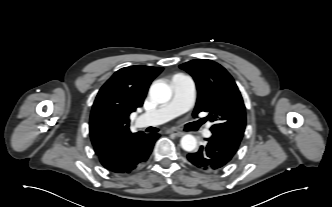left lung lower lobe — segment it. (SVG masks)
<instances>
[{
  "label": "left lung lower lobe",
  "mask_w": 332,
  "mask_h": 207,
  "mask_svg": "<svg viewBox=\"0 0 332 207\" xmlns=\"http://www.w3.org/2000/svg\"><path fill=\"white\" fill-rule=\"evenodd\" d=\"M205 140V146H201L197 152L187 155L193 166L205 172L218 171L225 167L240 145V142L218 134H213Z\"/></svg>",
  "instance_id": "obj_1"
}]
</instances>
